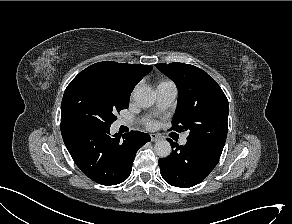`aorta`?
<instances>
[{
    "instance_id": "1",
    "label": "aorta",
    "mask_w": 292,
    "mask_h": 224,
    "mask_svg": "<svg viewBox=\"0 0 292 224\" xmlns=\"http://www.w3.org/2000/svg\"><path fill=\"white\" fill-rule=\"evenodd\" d=\"M133 98L139 107L146 108L155 103L156 94L151 88L140 86L135 89ZM154 151L159 157H168L171 153V145L166 140L157 141L154 145Z\"/></svg>"
}]
</instances>
